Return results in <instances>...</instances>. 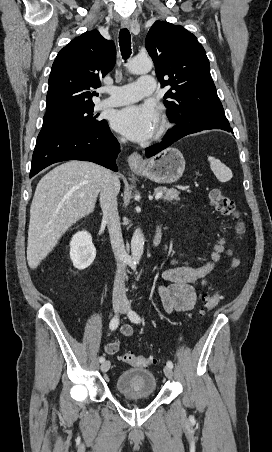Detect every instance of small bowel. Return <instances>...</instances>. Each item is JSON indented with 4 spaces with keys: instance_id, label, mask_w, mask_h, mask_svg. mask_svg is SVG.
I'll return each instance as SVG.
<instances>
[{
    "instance_id": "small-bowel-1",
    "label": "small bowel",
    "mask_w": 272,
    "mask_h": 452,
    "mask_svg": "<svg viewBox=\"0 0 272 452\" xmlns=\"http://www.w3.org/2000/svg\"><path fill=\"white\" fill-rule=\"evenodd\" d=\"M223 244L222 240L219 241L211 253V261L201 266L195 267L177 259L171 260L170 267L163 271V278L168 284L159 288V296L167 312H187L195 307L197 302L195 286L206 284L205 277L211 272L214 262L225 252ZM226 253L231 255L230 250H227ZM238 264L239 260L232 257L231 266L234 267ZM119 334L131 337L133 328L130 325H123L119 329ZM120 347L121 341L116 338L104 346V351L108 355H114L120 350Z\"/></svg>"
}]
</instances>
